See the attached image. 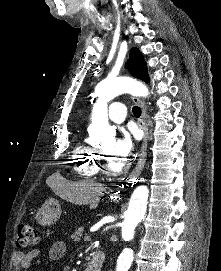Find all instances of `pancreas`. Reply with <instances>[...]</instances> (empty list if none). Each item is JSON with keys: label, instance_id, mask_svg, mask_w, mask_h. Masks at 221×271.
Masks as SVG:
<instances>
[{"label": "pancreas", "instance_id": "pancreas-1", "mask_svg": "<svg viewBox=\"0 0 221 271\" xmlns=\"http://www.w3.org/2000/svg\"><path fill=\"white\" fill-rule=\"evenodd\" d=\"M83 227H79V229H76L74 231L72 237H70V242H81V235H83Z\"/></svg>", "mask_w": 221, "mask_h": 271}]
</instances>
